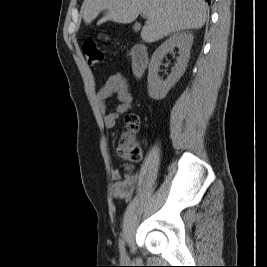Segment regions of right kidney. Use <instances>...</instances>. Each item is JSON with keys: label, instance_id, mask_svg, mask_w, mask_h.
<instances>
[{"label": "right kidney", "instance_id": "1", "mask_svg": "<svg viewBox=\"0 0 267 267\" xmlns=\"http://www.w3.org/2000/svg\"><path fill=\"white\" fill-rule=\"evenodd\" d=\"M193 35L189 32H179L162 43L153 53L148 69V94L154 100L165 98L169 90L184 74L190 56ZM177 47L179 57L165 81L161 80L158 72L163 58Z\"/></svg>", "mask_w": 267, "mask_h": 267}]
</instances>
